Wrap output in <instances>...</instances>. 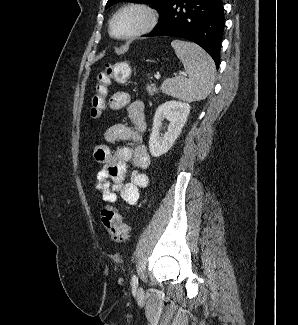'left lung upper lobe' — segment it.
<instances>
[{
    "label": "left lung upper lobe",
    "instance_id": "left-lung-upper-lobe-1",
    "mask_svg": "<svg viewBox=\"0 0 298 325\" xmlns=\"http://www.w3.org/2000/svg\"><path fill=\"white\" fill-rule=\"evenodd\" d=\"M119 1H126V0H108L105 8H108ZM127 1H135V2L136 1H147V2L151 3L152 5H154L155 7H157L160 10V14H161V12L169 4V2L171 0H127Z\"/></svg>",
    "mask_w": 298,
    "mask_h": 325
}]
</instances>
